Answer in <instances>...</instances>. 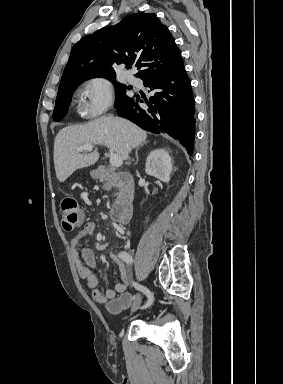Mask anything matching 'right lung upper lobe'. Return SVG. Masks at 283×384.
I'll return each mask as SVG.
<instances>
[{
    "label": "right lung upper lobe",
    "mask_w": 283,
    "mask_h": 384,
    "mask_svg": "<svg viewBox=\"0 0 283 384\" xmlns=\"http://www.w3.org/2000/svg\"><path fill=\"white\" fill-rule=\"evenodd\" d=\"M137 61L140 79L183 65L180 50L166 25L155 14L136 13L114 26L82 38L72 48L60 85L104 77L115 79L116 65Z\"/></svg>",
    "instance_id": "cb5924a9"
}]
</instances>
